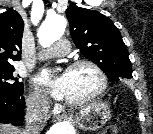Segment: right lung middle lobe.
<instances>
[{
    "mask_svg": "<svg viewBox=\"0 0 153 134\" xmlns=\"http://www.w3.org/2000/svg\"><path fill=\"white\" fill-rule=\"evenodd\" d=\"M14 71L13 66L0 67V92L23 94V83L18 81Z\"/></svg>",
    "mask_w": 153,
    "mask_h": 134,
    "instance_id": "1",
    "label": "right lung middle lobe"
}]
</instances>
